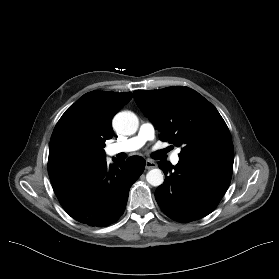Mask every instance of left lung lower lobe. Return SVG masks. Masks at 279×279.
Here are the masks:
<instances>
[{"instance_id":"obj_1","label":"left lung lower lobe","mask_w":279,"mask_h":279,"mask_svg":"<svg viewBox=\"0 0 279 279\" xmlns=\"http://www.w3.org/2000/svg\"><path fill=\"white\" fill-rule=\"evenodd\" d=\"M165 174L155 198L170 218L190 222L210 214L229 187L233 160L180 157L176 166L158 163Z\"/></svg>"}]
</instances>
